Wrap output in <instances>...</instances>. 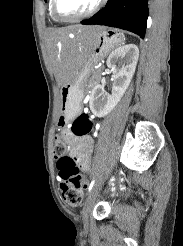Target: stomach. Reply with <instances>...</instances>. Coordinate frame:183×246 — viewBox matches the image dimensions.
Listing matches in <instances>:
<instances>
[{
	"mask_svg": "<svg viewBox=\"0 0 183 246\" xmlns=\"http://www.w3.org/2000/svg\"><path fill=\"white\" fill-rule=\"evenodd\" d=\"M124 41V35L117 29L102 27L92 44L88 47L85 62L80 65L79 71L72 81L64 84L60 91L61 113L58 126H66L80 111L83 96V85L88 80L92 66L109 53L111 49Z\"/></svg>",
	"mask_w": 183,
	"mask_h": 246,
	"instance_id": "1",
	"label": "stomach"
}]
</instances>
